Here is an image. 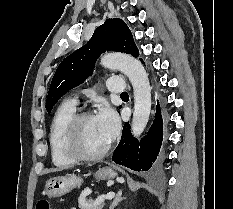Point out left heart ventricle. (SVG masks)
I'll return each instance as SVG.
<instances>
[{
    "mask_svg": "<svg viewBox=\"0 0 233 209\" xmlns=\"http://www.w3.org/2000/svg\"><path fill=\"white\" fill-rule=\"evenodd\" d=\"M108 143L102 134L95 117L85 119L78 132V146L85 153H96Z\"/></svg>",
    "mask_w": 233,
    "mask_h": 209,
    "instance_id": "obj_1",
    "label": "left heart ventricle"
}]
</instances>
